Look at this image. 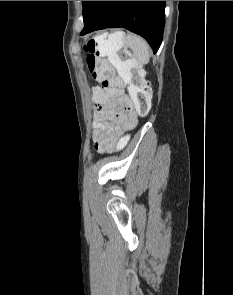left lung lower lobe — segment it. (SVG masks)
Instances as JSON below:
<instances>
[{
	"label": "left lung lower lobe",
	"instance_id": "obj_1",
	"mask_svg": "<svg viewBox=\"0 0 233 295\" xmlns=\"http://www.w3.org/2000/svg\"><path fill=\"white\" fill-rule=\"evenodd\" d=\"M164 9L165 1H96L81 35L123 27L145 38L155 53L162 42Z\"/></svg>",
	"mask_w": 233,
	"mask_h": 295
}]
</instances>
